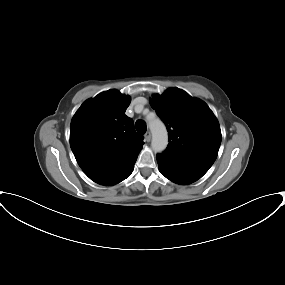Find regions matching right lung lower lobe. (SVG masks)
Instances as JSON below:
<instances>
[{
  "mask_svg": "<svg viewBox=\"0 0 285 285\" xmlns=\"http://www.w3.org/2000/svg\"><path fill=\"white\" fill-rule=\"evenodd\" d=\"M134 168V164L131 165L121 176H119L118 178H116L113 182H111L108 186L111 185H115L119 182H121L122 180L126 179L133 171Z\"/></svg>",
  "mask_w": 285,
  "mask_h": 285,
  "instance_id": "98d812e1",
  "label": "right lung lower lobe"
}]
</instances>
